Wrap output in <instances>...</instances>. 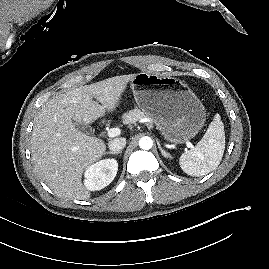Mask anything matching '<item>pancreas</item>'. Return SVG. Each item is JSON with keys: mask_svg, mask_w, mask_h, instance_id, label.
Masks as SVG:
<instances>
[{"mask_svg": "<svg viewBox=\"0 0 269 269\" xmlns=\"http://www.w3.org/2000/svg\"><path fill=\"white\" fill-rule=\"evenodd\" d=\"M146 117L145 113L135 108L123 115V121L125 124L135 123L136 121Z\"/></svg>", "mask_w": 269, "mask_h": 269, "instance_id": "obj_1", "label": "pancreas"}]
</instances>
